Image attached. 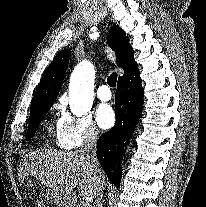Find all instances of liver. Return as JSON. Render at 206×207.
<instances>
[{
	"instance_id": "liver-1",
	"label": "liver",
	"mask_w": 206,
	"mask_h": 207,
	"mask_svg": "<svg viewBox=\"0 0 206 207\" xmlns=\"http://www.w3.org/2000/svg\"><path fill=\"white\" fill-rule=\"evenodd\" d=\"M29 175L47 187V195L57 207L72 205L76 187L83 198L95 196L93 175L81 152L39 150L25 155L18 171L20 183ZM101 182L105 183L103 172Z\"/></svg>"
}]
</instances>
